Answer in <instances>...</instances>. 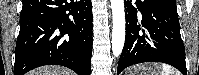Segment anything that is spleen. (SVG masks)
Wrapping results in <instances>:
<instances>
[{"mask_svg":"<svg viewBox=\"0 0 199 75\" xmlns=\"http://www.w3.org/2000/svg\"><path fill=\"white\" fill-rule=\"evenodd\" d=\"M157 68L161 69L159 75H181L179 71L173 69L168 65L157 66Z\"/></svg>","mask_w":199,"mask_h":75,"instance_id":"obj_1","label":"spleen"}]
</instances>
